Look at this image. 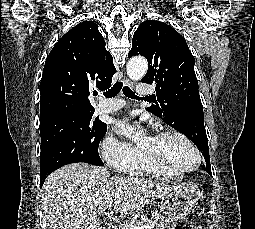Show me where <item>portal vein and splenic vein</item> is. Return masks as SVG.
<instances>
[{
    "label": "portal vein and splenic vein",
    "mask_w": 255,
    "mask_h": 229,
    "mask_svg": "<svg viewBox=\"0 0 255 229\" xmlns=\"http://www.w3.org/2000/svg\"><path fill=\"white\" fill-rule=\"evenodd\" d=\"M119 198H120L119 195L114 196V199H119ZM111 207H112V203L109 204L108 209L111 210ZM124 224L126 227H128V229H152V227H153L152 224H146L144 226H139V225L130 223L128 221H124Z\"/></svg>",
    "instance_id": "obj_1"
}]
</instances>
